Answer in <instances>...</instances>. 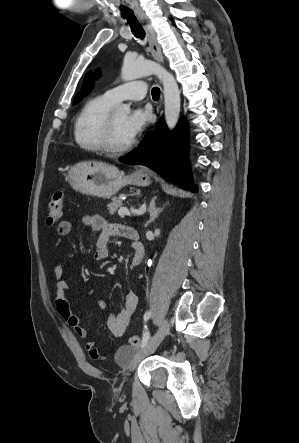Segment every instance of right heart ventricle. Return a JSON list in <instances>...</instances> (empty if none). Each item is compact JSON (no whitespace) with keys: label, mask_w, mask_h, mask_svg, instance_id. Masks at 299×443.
<instances>
[{"label":"right heart ventricle","mask_w":299,"mask_h":443,"mask_svg":"<svg viewBox=\"0 0 299 443\" xmlns=\"http://www.w3.org/2000/svg\"><path fill=\"white\" fill-rule=\"evenodd\" d=\"M113 104L105 95L85 103L74 124V140L79 148L87 152H103L104 125Z\"/></svg>","instance_id":"1"}]
</instances>
